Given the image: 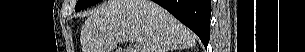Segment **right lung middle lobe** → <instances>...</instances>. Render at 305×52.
<instances>
[{
    "mask_svg": "<svg viewBox=\"0 0 305 52\" xmlns=\"http://www.w3.org/2000/svg\"><path fill=\"white\" fill-rule=\"evenodd\" d=\"M101 0H78L76 6H75V11L78 12L82 9H85L87 7H90L96 3H98Z\"/></svg>",
    "mask_w": 305,
    "mask_h": 52,
    "instance_id": "1",
    "label": "right lung middle lobe"
}]
</instances>
